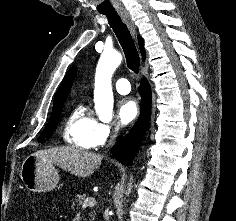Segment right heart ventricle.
Wrapping results in <instances>:
<instances>
[{
	"mask_svg": "<svg viewBox=\"0 0 236 221\" xmlns=\"http://www.w3.org/2000/svg\"><path fill=\"white\" fill-rule=\"evenodd\" d=\"M97 120L84 103L76 105L64 125V140L71 146L88 150L94 147L93 135Z\"/></svg>",
	"mask_w": 236,
	"mask_h": 221,
	"instance_id": "1",
	"label": "right heart ventricle"
}]
</instances>
